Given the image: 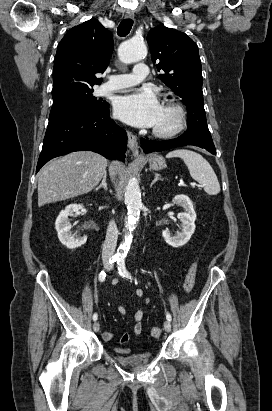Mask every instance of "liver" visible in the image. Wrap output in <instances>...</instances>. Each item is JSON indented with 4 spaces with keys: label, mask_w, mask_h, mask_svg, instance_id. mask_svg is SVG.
Returning <instances> with one entry per match:
<instances>
[{
    "label": "liver",
    "mask_w": 272,
    "mask_h": 411,
    "mask_svg": "<svg viewBox=\"0 0 272 411\" xmlns=\"http://www.w3.org/2000/svg\"><path fill=\"white\" fill-rule=\"evenodd\" d=\"M107 159L91 151L73 152L47 163L39 172L38 206L91 191L106 173Z\"/></svg>",
    "instance_id": "6515ba94"
}]
</instances>
